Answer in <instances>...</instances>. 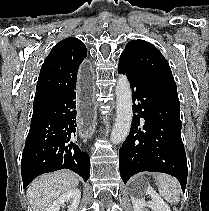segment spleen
<instances>
[{"label": "spleen", "instance_id": "3e777b00", "mask_svg": "<svg viewBox=\"0 0 209 211\" xmlns=\"http://www.w3.org/2000/svg\"><path fill=\"white\" fill-rule=\"evenodd\" d=\"M156 184L160 195L169 203L176 204L180 200L181 186L178 180L167 174H158Z\"/></svg>", "mask_w": 209, "mask_h": 211}]
</instances>
